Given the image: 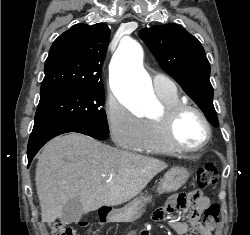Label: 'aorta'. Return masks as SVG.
<instances>
[{"label": "aorta", "mask_w": 250, "mask_h": 235, "mask_svg": "<svg viewBox=\"0 0 250 235\" xmlns=\"http://www.w3.org/2000/svg\"><path fill=\"white\" fill-rule=\"evenodd\" d=\"M143 50L134 40L120 44L110 63V81L116 97L128 108L152 100V84L142 65Z\"/></svg>", "instance_id": "obj_1"}]
</instances>
